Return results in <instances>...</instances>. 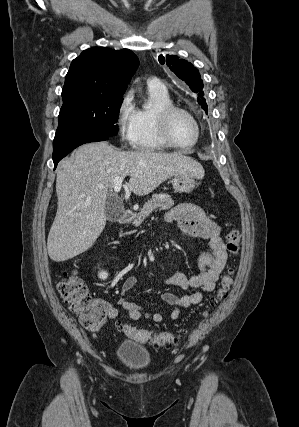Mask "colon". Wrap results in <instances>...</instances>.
<instances>
[{
  "label": "colon",
  "mask_w": 299,
  "mask_h": 427,
  "mask_svg": "<svg viewBox=\"0 0 299 427\" xmlns=\"http://www.w3.org/2000/svg\"><path fill=\"white\" fill-rule=\"evenodd\" d=\"M226 249L236 255L240 249V234L231 229L226 235ZM233 270L229 267L222 276L216 296L211 305L218 304L227 297L232 285ZM58 291L63 300L69 305L72 312L79 316L81 324L92 332H97L106 319L104 308L93 300L83 280L74 272L65 271L57 282ZM121 330L128 336L142 343H151L156 347H170L176 344L179 338L171 332L158 333L133 327L129 324H120Z\"/></svg>",
  "instance_id": "1"
}]
</instances>
